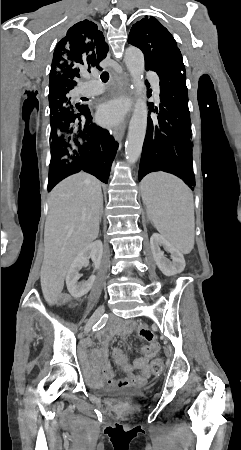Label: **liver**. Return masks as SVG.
Here are the masks:
<instances>
[{"mask_svg": "<svg viewBox=\"0 0 241 450\" xmlns=\"http://www.w3.org/2000/svg\"><path fill=\"white\" fill-rule=\"evenodd\" d=\"M48 204L40 282L46 302L55 304L71 262L99 234L101 184L93 176L79 172L53 188Z\"/></svg>", "mask_w": 241, "mask_h": 450, "instance_id": "1", "label": "liver"}]
</instances>
